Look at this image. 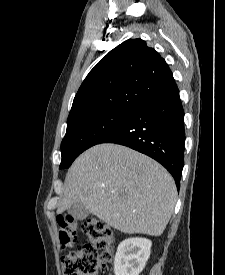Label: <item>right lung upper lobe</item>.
Instances as JSON below:
<instances>
[{"mask_svg":"<svg viewBox=\"0 0 225 275\" xmlns=\"http://www.w3.org/2000/svg\"><path fill=\"white\" fill-rule=\"evenodd\" d=\"M177 89L165 60L141 39H129L110 51L80 86L67 119L132 111L142 103Z\"/></svg>","mask_w":225,"mask_h":275,"instance_id":"1","label":"right lung upper lobe"}]
</instances>
